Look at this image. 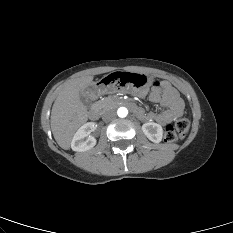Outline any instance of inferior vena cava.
Instances as JSON below:
<instances>
[{"label": "inferior vena cava", "mask_w": 233, "mask_h": 233, "mask_svg": "<svg viewBox=\"0 0 233 233\" xmlns=\"http://www.w3.org/2000/svg\"><path fill=\"white\" fill-rule=\"evenodd\" d=\"M115 116H116V113L114 110H108V111H105L103 113L102 119L104 121H110V120L114 119Z\"/></svg>", "instance_id": "obj_1"}]
</instances>
